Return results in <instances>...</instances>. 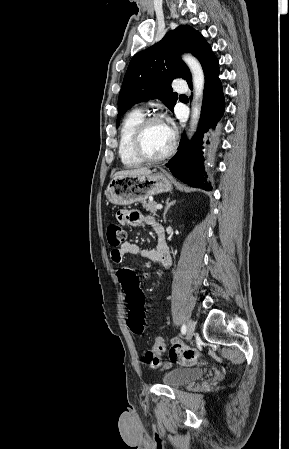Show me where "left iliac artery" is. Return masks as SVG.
I'll return each mask as SVG.
<instances>
[{
  "instance_id": "44dca946",
  "label": "left iliac artery",
  "mask_w": 289,
  "mask_h": 449,
  "mask_svg": "<svg viewBox=\"0 0 289 449\" xmlns=\"http://www.w3.org/2000/svg\"><path fill=\"white\" fill-rule=\"evenodd\" d=\"M181 333L183 335L186 333V326H185V324H183L182 327H181Z\"/></svg>"
}]
</instances>
